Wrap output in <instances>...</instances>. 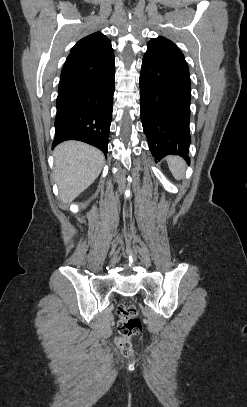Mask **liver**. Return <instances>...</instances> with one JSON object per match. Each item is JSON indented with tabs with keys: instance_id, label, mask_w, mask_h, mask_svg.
<instances>
[{
	"instance_id": "1",
	"label": "liver",
	"mask_w": 247,
	"mask_h": 407,
	"mask_svg": "<svg viewBox=\"0 0 247 407\" xmlns=\"http://www.w3.org/2000/svg\"><path fill=\"white\" fill-rule=\"evenodd\" d=\"M54 158V179L60 200L66 205L96 180L105 162L100 150L78 141L58 145Z\"/></svg>"
}]
</instances>
